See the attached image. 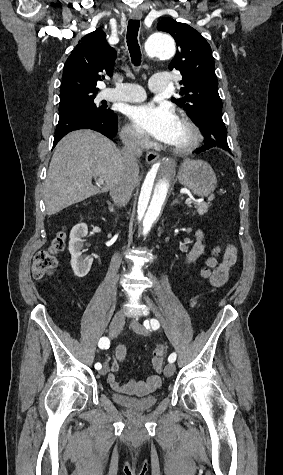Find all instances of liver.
<instances>
[{"label": "liver", "mask_w": 283, "mask_h": 475, "mask_svg": "<svg viewBox=\"0 0 283 475\" xmlns=\"http://www.w3.org/2000/svg\"><path fill=\"white\" fill-rule=\"evenodd\" d=\"M122 154L114 142L94 130H76L55 148L44 188L47 216L111 190L121 170ZM92 178L102 184L93 186ZM137 176L134 180V188Z\"/></svg>", "instance_id": "1"}]
</instances>
